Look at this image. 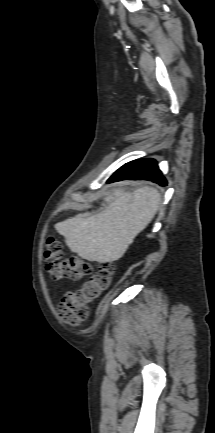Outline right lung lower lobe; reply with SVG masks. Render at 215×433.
Wrapping results in <instances>:
<instances>
[{"mask_svg":"<svg viewBox=\"0 0 215 433\" xmlns=\"http://www.w3.org/2000/svg\"><path fill=\"white\" fill-rule=\"evenodd\" d=\"M124 179L149 180L161 186L167 184L156 161L153 159H139L123 165L110 177L108 182H115Z\"/></svg>","mask_w":215,"mask_h":433,"instance_id":"1","label":"right lung lower lobe"}]
</instances>
